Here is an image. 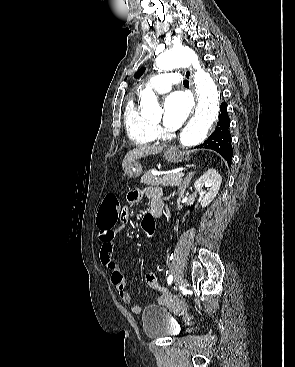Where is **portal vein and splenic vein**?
I'll return each mask as SVG.
<instances>
[{"mask_svg":"<svg viewBox=\"0 0 295 367\" xmlns=\"http://www.w3.org/2000/svg\"><path fill=\"white\" fill-rule=\"evenodd\" d=\"M177 175L182 177L184 176V173H178Z\"/></svg>","mask_w":295,"mask_h":367,"instance_id":"portal-vein-and-splenic-vein-1","label":"portal vein and splenic vein"}]
</instances>
